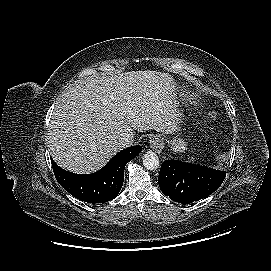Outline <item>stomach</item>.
<instances>
[{"instance_id":"0dacf381","label":"stomach","mask_w":271,"mask_h":271,"mask_svg":"<svg viewBox=\"0 0 271 271\" xmlns=\"http://www.w3.org/2000/svg\"><path fill=\"white\" fill-rule=\"evenodd\" d=\"M168 142L174 152H185V150L187 149V143L181 138L175 137Z\"/></svg>"}]
</instances>
